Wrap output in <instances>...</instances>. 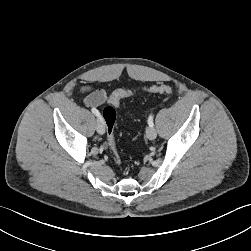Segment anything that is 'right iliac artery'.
<instances>
[{
	"instance_id": "82829eb1",
	"label": "right iliac artery",
	"mask_w": 251,
	"mask_h": 251,
	"mask_svg": "<svg viewBox=\"0 0 251 251\" xmlns=\"http://www.w3.org/2000/svg\"><path fill=\"white\" fill-rule=\"evenodd\" d=\"M92 113L98 117V119L103 123V119L100 115V112L96 108L91 109Z\"/></svg>"
}]
</instances>
